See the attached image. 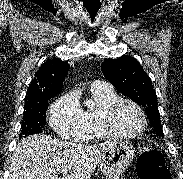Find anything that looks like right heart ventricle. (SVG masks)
Masks as SVG:
<instances>
[{"label": "right heart ventricle", "mask_w": 183, "mask_h": 179, "mask_svg": "<svg viewBox=\"0 0 183 179\" xmlns=\"http://www.w3.org/2000/svg\"><path fill=\"white\" fill-rule=\"evenodd\" d=\"M92 95L96 106L84 111L87 122L86 140L108 138L110 136H108L100 126L99 116L102 109L112 101L118 99L119 96L112 89L92 90Z\"/></svg>", "instance_id": "1"}]
</instances>
